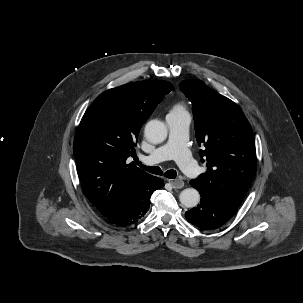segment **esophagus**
I'll return each mask as SVG.
<instances>
[{
    "instance_id": "1",
    "label": "esophagus",
    "mask_w": 303,
    "mask_h": 303,
    "mask_svg": "<svg viewBox=\"0 0 303 303\" xmlns=\"http://www.w3.org/2000/svg\"><path fill=\"white\" fill-rule=\"evenodd\" d=\"M168 182L174 189H180L184 187V182L181 179H169Z\"/></svg>"
}]
</instances>
